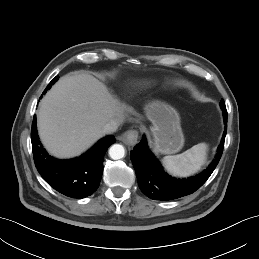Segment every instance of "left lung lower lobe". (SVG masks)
I'll return each mask as SVG.
<instances>
[{
  "mask_svg": "<svg viewBox=\"0 0 259 259\" xmlns=\"http://www.w3.org/2000/svg\"><path fill=\"white\" fill-rule=\"evenodd\" d=\"M223 110L225 131L218 147L217 155L206 170L188 179L172 178L164 172L162 166L147 147L145 136L130 153L141 191L154 200H173L195 192L210 177L217 166L223 149L227 131V110L225 103L220 102Z\"/></svg>",
  "mask_w": 259,
  "mask_h": 259,
  "instance_id": "0a47b994",
  "label": "left lung lower lobe"
}]
</instances>
